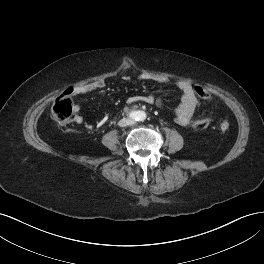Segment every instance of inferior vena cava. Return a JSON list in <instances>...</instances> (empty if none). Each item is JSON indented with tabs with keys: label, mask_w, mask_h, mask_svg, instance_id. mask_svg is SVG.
I'll list each match as a JSON object with an SVG mask.
<instances>
[{
	"label": "inferior vena cava",
	"mask_w": 264,
	"mask_h": 264,
	"mask_svg": "<svg viewBox=\"0 0 264 264\" xmlns=\"http://www.w3.org/2000/svg\"><path fill=\"white\" fill-rule=\"evenodd\" d=\"M130 123H131L130 120H125L123 126L129 125Z\"/></svg>",
	"instance_id": "obj_1"
}]
</instances>
